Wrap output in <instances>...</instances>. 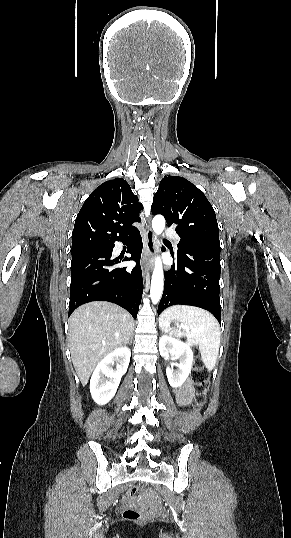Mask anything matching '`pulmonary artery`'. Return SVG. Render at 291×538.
Returning a JSON list of instances; mask_svg holds the SVG:
<instances>
[{
  "label": "pulmonary artery",
  "mask_w": 291,
  "mask_h": 538,
  "mask_svg": "<svg viewBox=\"0 0 291 538\" xmlns=\"http://www.w3.org/2000/svg\"><path fill=\"white\" fill-rule=\"evenodd\" d=\"M164 234L166 237L173 239L175 244H178L180 242L179 235L173 229H167Z\"/></svg>",
  "instance_id": "e3ab8cb5"
}]
</instances>
